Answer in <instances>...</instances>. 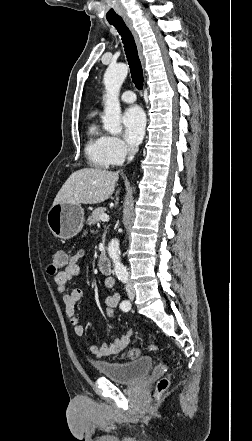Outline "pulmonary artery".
<instances>
[{
	"mask_svg": "<svg viewBox=\"0 0 252 441\" xmlns=\"http://www.w3.org/2000/svg\"><path fill=\"white\" fill-rule=\"evenodd\" d=\"M120 100L124 103H133L136 101V95L132 91H125L121 95Z\"/></svg>",
	"mask_w": 252,
	"mask_h": 441,
	"instance_id": "obj_1",
	"label": "pulmonary artery"
}]
</instances>
